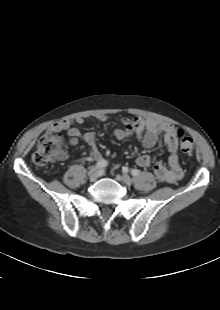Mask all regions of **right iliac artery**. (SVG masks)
Listing matches in <instances>:
<instances>
[{
    "mask_svg": "<svg viewBox=\"0 0 220 310\" xmlns=\"http://www.w3.org/2000/svg\"><path fill=\"white\" fill-rule=\"evenodd\" d=\"M106 166H107V161L106 160L100 161V162L96 163V165L91 167V169L89 171V174H91L93 171H95L97 169H102V168H104Z\"/></svg>",
    "mask_w": 220,
    "mask_h": 310,
    "instance_id": "82829eb1",
    "label": "right iliac artery"
}]
</instances>
